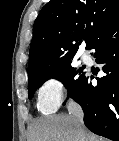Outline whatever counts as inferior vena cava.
Wrapping results in <instances>:
<instances>
[{
    "label": "inferior vena cava",
    "instance_id": "602c4592",
    "mask_svg": "<svg viewBox=\"0 0 119 141\" xmlns=\"http://www.w3.org/2000/svg\"><path fill=\"white\" fill-rule=\"evenodd\" d=\"M68 112L70 115H72L76 121L78 122L79 125L83 126V110L80 107L79 104H77L75 101L73 100H69L68 105Z\"/></svg>",
    "mask_w": 119,
    "mask_h": 141
}]
</instances>
